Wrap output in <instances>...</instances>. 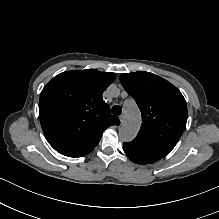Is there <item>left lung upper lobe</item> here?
<instances>
[{
    "mask_svg": "<svg viewBox=\"0 0 219 219\" xmlns=\"http://www.w3.org/2000/svg\"><path fill=\"white\" fill-rule=\"evenodd\" d=\"M120 81L142 115L138 135L123 143V150L139 164L154 163L165 157L182 136L187 122L186 101L174 85L150 72L123 73Z\"/></svg>",
    "mask_w": 219,
    "mask_h": 219,
    "instance_id": "left-lung-upper-lobe-1",
    "label": "left lung upper lobe"
}]
</instances>
